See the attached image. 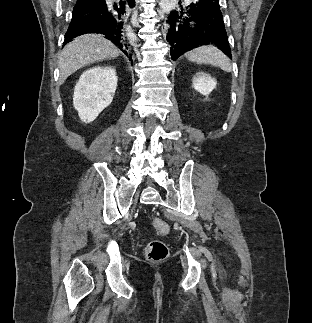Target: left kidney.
<instances>
[{
  "mask_svg": "<svg viewBox=\"0 0 312 323\" xmlns=\"http://www.w3.org/2000/svg\"><path fill=\"white\" fill-rule=\"evenodd\" d=\"M216 84V80H213L209 74H203V72H199L193 80L195 90L200 92V94H203V96L210 94V92L216 88Z\"/></svg>",
  "mask_w": 312,
  "mask_h": 323,
  "instance_id": "1",
  "label": "left kidney"
}]
</instances>
